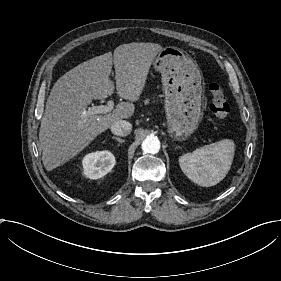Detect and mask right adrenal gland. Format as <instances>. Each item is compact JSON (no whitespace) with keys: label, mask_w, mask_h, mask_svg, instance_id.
<instances>
[{"label":"right adrenal gland","mask_w":281,"mask_h":281,"mask_svg":"<svg viewBox=\"0 0 281 281\" xmlns=\"http://www.w3.org/2000/svg\"><path fill=\"white\" fill-rule=\"evenodd\" d=\"M113 139L117 140L120 144H124L125 141L120 139L119 137L113 136Z\"/></svg>","instance_id":"obj_1"}]
</instances>
